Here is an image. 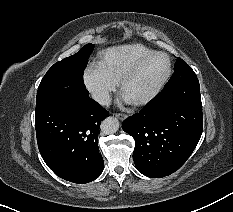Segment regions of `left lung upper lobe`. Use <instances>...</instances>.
Masks as SVG:
<instances>
[{
	"label": "left lung upper lobe",
	"instance_id": "5c2ea615",
	"mask_svg": "<svg viewBox=\"0 0 233 212\" xmlns=\"http://www.w3.org/2000/svg\"><path fill=\"white\" fill-rule=\"evenodd\" d=\"M191 75L196 76L194 71L188 66V64L184 60L177 58L175 66H174V73L165 86H169L172 83L179 80L180 78L191 76Z\"/></svg>",
	"mask_w": 233,
	"mask_h": 212
}]
</instances>
